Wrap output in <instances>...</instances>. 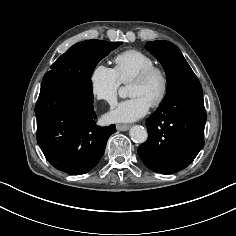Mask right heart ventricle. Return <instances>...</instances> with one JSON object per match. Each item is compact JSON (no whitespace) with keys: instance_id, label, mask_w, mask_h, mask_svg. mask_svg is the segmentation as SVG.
I'll return each mask as SVG.
<instances>
[{"instance_id":"1","label":"right heart ventricle","mask_w":236,"mask_h":236,"mask_svg":"<svg viewBox=\"0 0 236 236\" xmlns=\"http://www.w3.org/2000/svg\"><path fill=\"white\" fill-rule=\"evenodd\" d=\"M115 71L121 83L127 84L142 70L155 64L153 58L138 49H129L114 57Z\"/></svg>"}]
</instances>
